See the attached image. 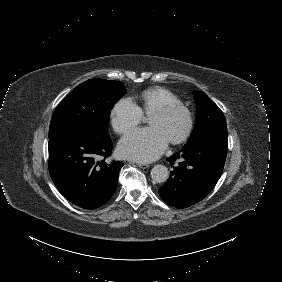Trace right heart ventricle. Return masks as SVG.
<instances>
[{
	"instance_id": "1",
	"label": "right heart ventricle",
	"mask_w": 282,
	"mask_h": 282,
	"mask_svg": "<svg viewBox=\"0 0 282 282\" xmlns=\"http://www.w3.org/2000/svg\"><path fill=\"white\" fill-rule=\"evenodd\" d=\"M140 111L150 115L154 110L167 103H179V100L168 90L154 88L144 91L139 98L133 99Z\"/></svg>"
}]
</instances>
